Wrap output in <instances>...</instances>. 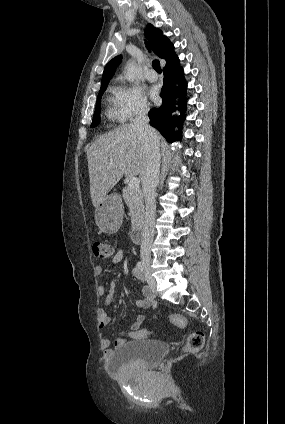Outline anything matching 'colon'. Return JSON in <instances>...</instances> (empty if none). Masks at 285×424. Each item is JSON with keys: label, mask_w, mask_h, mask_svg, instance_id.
I'll return each mask as SVG.
<instances>
[{"label": "colon", "mask_w": 285, "mask_h": 424, "mask_svg": "<svg viewBox=\"0 0 285 424\" xmlns=\"http://www.w3.org/2000/svg\"><path fill=\"white\" fill-rule=\"evenodd\" d=\"M92 251L95 257L100 259H107L113 255V248L110 244L103 241H95L92 245ZM169 322L176 328H183L185 326V319L180 314H171ZM151 335V331L143 330L142 338H146ZM204 345V335L202 332H194L190 334L186 344V351L197 352Z\"/></svg>", "instance_id": "5ec220e1"}]
</instances>
